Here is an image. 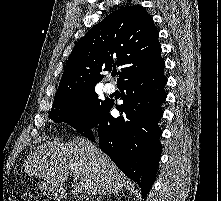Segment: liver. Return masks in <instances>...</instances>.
Returning a JSON list of instances; mask_svg holds the SVG:
<instances>
[{
  "label": "liver",
  "mask_w": 221,
  "mask_h": 201,
  "mask_svg": "<svg viewBox=\"0 0 221 201\" xmlns=\"http://www.w3.org/2000/svg\"><path fill=\"white\" fill-rule=\"evenodd\" d=\"M24 171L56 188L73 176L88 196L120 191L129 184L112 160L84 138L44 142L27 156Z\"/></svg>",
  "instance_id": "liver-1"
}]
</instances>
